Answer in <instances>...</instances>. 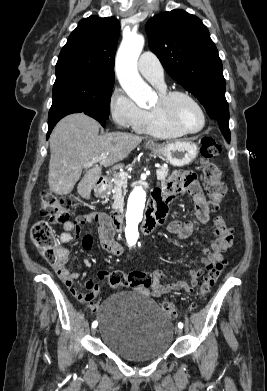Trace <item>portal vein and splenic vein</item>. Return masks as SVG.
<instances>
[{
    "instance_id": "obj_1",
    "label": "portal vein and splenic vein",
    "mask_w": 267,
    "mask_h": 391,
    "mask_svg": "<svg viewBox=\"0 0 267 391\" xmlns=\"http://www.w3.org/2000/svg\"><path fill=\"white\" fill-rule=\"evenodd\" d=\"M107 155H108V153H106V154H101L99 157H97V158L93 159L92 161L88 162V163L86 164V167H90V166H92L93 164H95V163L101 161V160L104 159ZM155 167L159 169V168H160V165H159V164H156ZM114 176H115V177L126 178V177L128 176V174H127L126 172H120L119 174L114 175Z\"/></svg>"
}]
</instances>
